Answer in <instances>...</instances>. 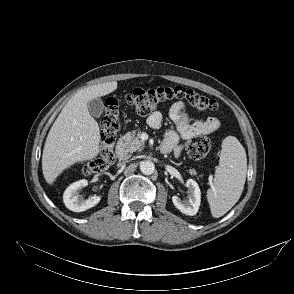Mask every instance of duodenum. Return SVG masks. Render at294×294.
I'll return each mask as SVG.
<instances>
[{"label": "duodenum", "mask_w": 294, "mask_h": 294, "mask_svg": "<svg viewBox=\"0 0 294 294\" xmlns=\"http://www.w3.org/2000/svg\"><path fill=\"white\" fill-rule=\"evenodd\" d=\"M115 152L118 158L125 159L127 156V138L122 136L116 145Z\"/></svg>", "instance_id": "obj_1"}]
</instances>
